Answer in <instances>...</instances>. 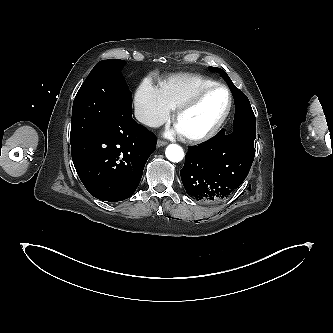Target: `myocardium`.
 <instances>
[{"label": "myocardium", "mask_w": 333, "mask_h": 333, "mask_svg": "<svg viewBox=\"0 0 333 333\" xmlns=\"http://www.w3.org/2000/svg\"><path fill=\"white\" fill-rule=\"evenodd\" d=\"M217 88H222L227 92L228 95V104L227 107L222 114V116L219 118V120L207 131L200 133V134H195V135H186L183 134L184 138L190 142V143H202L206 142L213 137H215L218 132L221 130V128L224 126L226 123L227 119L229 118L232 108H233V95L231 90L229 89L228 86L222 83H214L208 86H205L198 90L195 94H193L188 100H186L183 104H181L175 111L174 114V123L177 126V123L179 119L189 110H191L193 107H195L200 100L210 91L215 90Z\"/></svg>", "instance_id": "1"}]
</instances>
